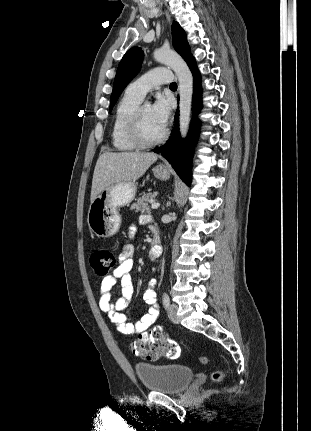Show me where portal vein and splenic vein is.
Listing matches in <instances>:
<instances>
[{
	"label": "portal vein and splenic vein",
	"instance_id": "1",
	"mask_svg": "<svg viewBox=\"0 0 311 431\" xmlns=\"http://www.w3.org/2000/svg\"><path fill=\"white\" fill-rule=\"evenodd\" d=\"M160 204H158V202H153V204H151V210H157V208H159Z\"/></svg>",
	"mask_w": 311,
	"mask_h": 431
}]
</instances>
